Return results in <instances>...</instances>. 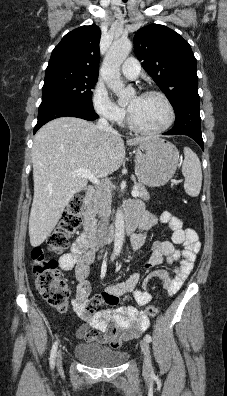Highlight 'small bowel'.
<instances>
[{
	"label": "small bowel",
	"instance_id": "obj_1",
	"mask_svg": "<svg viewBox=\"0 0 227 396\" xmlns=\"http://www.w3.org/2000/svg\"><path fill=\"white\" fill-rule=\"evenodd\" d=\"M128 214L136 217L140 230L131 238L132 249L135 251L144 246L146 231L157 224L167 225L172 232V240L154 243L152 255L145 264V269H153L165 260L173 266L172 275L166 270H154L145 278L143 290H136L140 275L133 273L125 281L106 285L100 296L89 299L91 285L86 278L95 260V254L92 250H88L89 246L83 235L78 236L70 252L59 259L61 269L74 270L78 281L74 289L72 305L75 312L83 318L84 323L78 328L77 336L89 342L109 344L114 349L119 348L123 341L133 340L144 332L149 326V318L146 312L135 306H120L97 311L98 307L102 304L116 305L120 298L127 294H131L138 306H146L152 298L148 289L154 281H159L167 294L177 293L192 271L196 256L201 249L196 231L185 228L182 221L170 211H164L157 217L144 211L140 201H132L128 206ZM175 245H182L183 249H177ZM176 263L178 265H175Z\"/></svg>",
	"mask_w": 227,
	"mask_h": 396
}]
</instances>
